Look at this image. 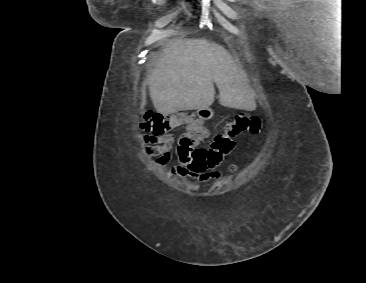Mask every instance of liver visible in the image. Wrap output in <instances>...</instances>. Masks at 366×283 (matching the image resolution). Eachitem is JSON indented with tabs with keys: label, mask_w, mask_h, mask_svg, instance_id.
<instances>
[{
	"label": "liver",
	"mask_w": 366,
	"mask_h": 283,
	"mask_svg": "<svg viewBox=\"0 0 366 283\" xmlns=\"http://www.w3.org/2000/svg\"><path fill=\"white\" fill-rule=\"evenodd\" d=\"M154 65L148 76L150 97L156 111L164 116L209 107L215 96L213 82L221 105L256 109L255 93L239 61L215 42L205 38L178 40L162 50Z\"/></svg>",
	"instance_id": "liver-1"
}]
</instances>
